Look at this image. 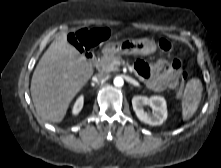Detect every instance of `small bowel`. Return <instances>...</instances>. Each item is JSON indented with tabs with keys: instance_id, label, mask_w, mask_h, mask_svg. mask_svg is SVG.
<instances>
[{
	"instance_id": "small-bowel-1",
	"label": "small bowel",
	"mask_w": 221,
	"mask_h": 168,
	"mask_svg": "<svg viewBox=\"0 0 221 168\" xmlns=\"http://www.w3.org/2000/svg\"><path fill=\"white\" fill-rule=\"evenodd\" d=\"M135 69L140 78L154 91L174 89L179 83L182 63L178 59H160L154 63L138 61Z\"/></svg>"
}]
</instances>
